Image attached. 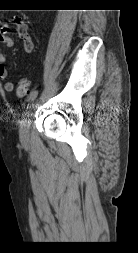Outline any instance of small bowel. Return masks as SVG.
Listing matches in <instances>:
<instances>
[{
	"label": "small bowel",
	"mask_w": 138,
	"mask_h": 253,
	"mask_svg": "<svg viewBox=\"0 0 138 253\" xmlns=\"http://www.w3.org/2000/svg\"><path fill=\"white\" fill-rule=\"evenodd\" d=\"M11 25H13L17 31L18 37L22 42L24 52L26 54H32L34 51V42L29 32V26L19 17L10 18L5 24L0 26V44L4 48H11L13 46V39L9 32ZM7 78L8 70L6 67V57L0 50V79L6 80ZM4 89L7 92H12L14 90V83L6 81Z\"/></svg>",
	"instance_id": "small-bowel-1"
}]
</instances>
